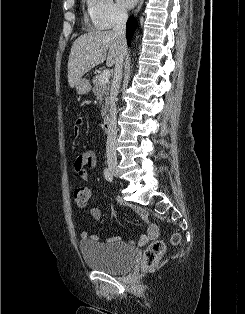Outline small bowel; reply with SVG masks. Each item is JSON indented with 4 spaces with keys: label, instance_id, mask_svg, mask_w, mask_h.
I'll use <instances>...</instances> for the list:
<instances>
[{
    "label": "small bowel",
    "instance_id": "c3829d8e",
    "mask_svg": "<svg viewBox=\"0 0 245 314\" xmlns=\"http://www.w3.org/2000/svg\"><path fill=\"white\" fill-rule=\"evenodd\" d=\"M82 124V119L78 118L76 119L75 125L73 127V133L75 136L79 134V126ZM88 166L90 168H96L97 166V156L94 151L88 150V151H83L78 154L74 161V171L76 174V177L79 181H87L88 180V172L85 169V167ZM137 215L139 218L144 222L147 228V232L145 234L140 235L138 238V244L141 246H144L148 244L150 241L155 240L159 236V230L158 227L153 224L147 215V212L141 208V207H134ZM90 214L93 220L95 221H101L103 218L102 212L98 208H91ZM81 238L84 241H97L98 236L97 235H91L87 231H83L81 233ZM108 242H119L120 237L119 236H114L111 237L107 240Z\"/></svg>",
    "mask_w": 245,
    "mask_h": 314
}]
</instances>
